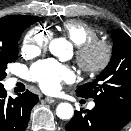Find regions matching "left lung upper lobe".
I'll return each mask as SVG.
<instances>
[{"label":"left lung upper lobe","mask_w":131,"mask_h":131,"mask_svg":"<svg viewBox=\"0 0 131 131\" xmlns=\"http://www.w3.org/2000/svg\"><path fill=\"white\" fill-rule=\"evenodd\" d=\"M113 53L108 66L91 83L76 90V95L94 98L125 121L131 119V38L122 30L112 31Z\"/></svg>","instance_id":"obj_1"}]
</instances>
